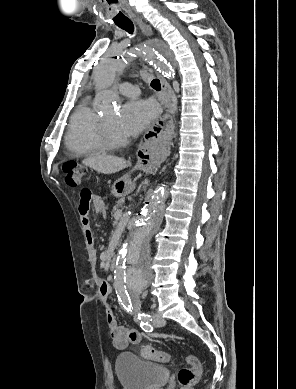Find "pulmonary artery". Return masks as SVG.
<instances>
[{
    "label": "pulmonary artery",
    "instance_id": "e3ab8cb5",
    "mask_svg": "<svg viewBox=\"0 0 296 389\" xmlns=\"http://www.w3.org/2000/svg\"><path fill=\"white\" fill-rule=\"evenodd\" d=\"M116 89L125 96H137L139 94V89L129 82L118 84Z\"/></svg>",
    "mask_w": 296,
    "mask_h": 389
}]
</instances>
